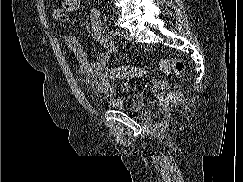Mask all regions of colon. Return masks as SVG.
Returning <instances> with one entry per match:
<instances>
[{"label":"colon","mask_w":243,"mask_h":182,"mask_svg":"<svg viewBox=\"0 0 243 182\" xmlns=\"http://www.w3.org/2000/svg\"><path fill=\"white\" fill-rule=\"evenodd\" d=\"M184 63L178 58H162L159 61V68L164 73L181 74L184 71ZM145 70L136 66H122L111 68L107 71V77L113 80H125L143 76ZM177 97L176 92L168 94L163 100L170 103Z\"/></svg>","instance_id":"5ec220e1"}]
</instances>
